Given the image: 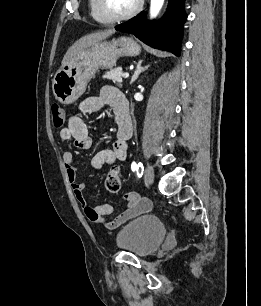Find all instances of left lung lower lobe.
<instances>
[{"instance_id": "0a47b994", "label": "left lung lower lobe", "mask_w": 261, "mask_h": 306, "mask_svg": "<svg viewBox=\"0 0 261 306\" xmlns=\"http://www.w3.org/2000/svg\"><path fill=\"white\" fill-rule=\"evenodd\" d=\"M185 0H169L167 12L158 22L145 20L140 13L131 20L116 26V30L134 34L147 45L180 55L183 24L187 19L184 10Z\"/></svg>"}]
</instances>
